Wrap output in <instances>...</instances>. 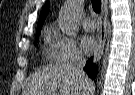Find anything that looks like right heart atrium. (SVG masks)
<instances>
[{"instance_id": "d8ad5b80", "label": "right heart atrium", "mask_w": 135, "mask_h": 95, "mask_svg": "<svg viewBox=\"0 0 135 95\" xmlns=\"http://www.w3.org/2000/svg\"><path fill=\"white\" fill-rule=\"evenodd\" d=\"M49 55L55 62H67L71 59L82 58L76 42L69 36L56 33L50 41Z\"/></svg>"}]
</instances>
